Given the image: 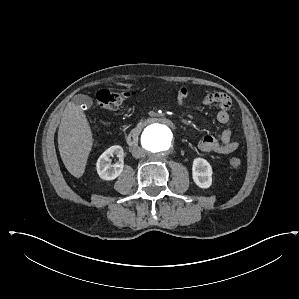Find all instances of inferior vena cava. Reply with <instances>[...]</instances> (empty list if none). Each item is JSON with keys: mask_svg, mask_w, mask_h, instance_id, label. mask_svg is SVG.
<instances>
[{"mask_svg": "<svg viewBox=\"0 0 299 299\" xmlns=\"http://www.w3.org/2000/svg\"><path fill=\"white\" fill-rule=\"evenodd\" d=\"M131 152L134 158H141L144 156L145 153L144 150L139 146L133 147Z\"/></svg>", "mask_w": 299, "mask_h": 299, "instance_id": "obj_1", "label": "inferior vena cava"}]
</instances>
